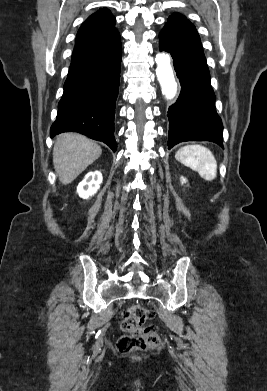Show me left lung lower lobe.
<instances>
[{
	"instance_id": "obj_1",
	"label": "left lung lower lobe",
	"mask_w": 267,
	"mask_h": 391,
	"mask_svg": "<svg viewBox=\"0 0 267 391\" xmlns=\"http://www.w3.org/2000/svg\"><path fill=\"white\" fill-rule=\"evenodd\" d=\"M159 39V50L171 54L182 86L168 111V149L183 141H211L223 147V125L200 39L170 26L161 30Z\"/></svg>"
}]
</instances>
